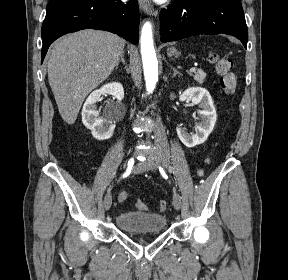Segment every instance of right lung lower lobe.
<instances>
[{
    "instance_id": "98d812e1",
    "label": "right lung lower lobe",
    "mask_w": 288,
    "mask_h": 280,
    "mask_svg": "<svg viewBox=\"0 0 288 280\" xmlns=\"http://www.w3.org/2000/svg\"><path fill=\"white\" fill-rule=\"evenodd\" d=\"M88 28L110 31L137 44V0H50L41 31L42 62L57 38Z\"/></svg>"
}]
</instances>
